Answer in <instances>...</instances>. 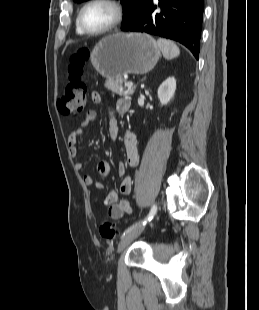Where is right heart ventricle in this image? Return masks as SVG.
<instances>
[{
  "instance_id": "1",
  "label": "right heart ventricle",
  "mask_w": 259,
  "mask_h": 310,
  "mask_svg": "<svg viewBox=\"0 0 259 310\" xmlns=\"http://www.w3.org/2000/svg\"><path fill=\"white\" fill-rule=\"evenodd\" d=\"M76 33L78 35H84V33L81 31V29L79 28L78 24L76 23Z\"/></svg>"
}]
</instances>
